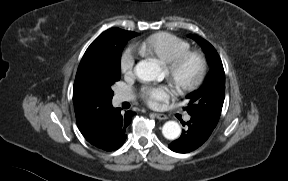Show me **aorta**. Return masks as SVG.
Instances as JSON below:
<instances>
[{
    "instance_id": "762f6f07",
    "label": "aorta",
    "mask_w": 288,
    "mask_h": 181,
    "mask_svg": "<svg viewBox=\"0 0 288 181\" xmlns=\"http://www.w3.org/2000/svg\"><path fill=\"white\" fill-rule=\"evenodd\" d=\"M135 73L142 81H153L160 77L161 69L157 63L143 60L135 66ZM162 134L168 140H175L181 134V127L176 121H167L162 127Z\"/></svg>"
}]
</instances>
